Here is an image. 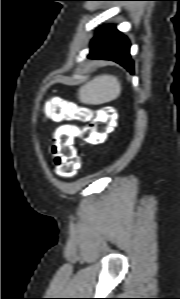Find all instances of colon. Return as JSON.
Returning a JSON list of instances; mask_svg holds the SVG:
<instances>
[{"instance_id":"obj_1","label":"colon","mask_w":180,"mask_h":299,"mask_svg":"<svg viewBox=\"0 0 180 299\" xmlns=\"http://www.w3.org/2000/svg\"><path fill=\"white\" fill-rule=\"evenodd\" d=\"M51 114L58 118L88 123L83 129L63 125L53 135L51 153L55 171L60 176L73 177L82 165L74 147L75 139L79 137L88 143L104 141L114 128L115 112L111 108H104L101 114L106 116L102 117L101 114L95 115L90 108L60 103L52 108Z\"/></svg>"}]
</instances>
